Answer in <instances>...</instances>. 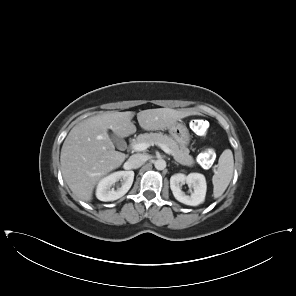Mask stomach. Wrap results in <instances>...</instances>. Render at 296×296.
<instances>
[{
  "label": "stomach",
  "instance_id": "0dacf381",
  "mask_svg": "<svg viewBox=\"0 0 296 296\" xmlns=\"http://www.w3.org/2000/svg\"><path fill=\"white\" fill-rule=\"evenodd\" d=\"M172 138L180 145L187 146L190 142V134L187 127L182 123H176L168 128Z\"/></svg>",
  "mask_w": 296,
  "mask_h": 296
}]
</instances>
